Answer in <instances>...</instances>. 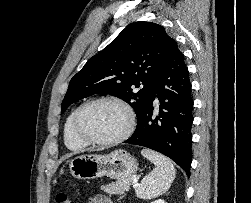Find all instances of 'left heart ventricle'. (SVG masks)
I'll list each match as a JSON object with an SVG mask.
<instances>
[{
  "instance_id": "obj_1",
  "label": "left heart ventricle",
  "mask_w": 251,
  "mask_h": 203,
  "mask_svg": "<svg viewBox=\"0 0 251 203\" xmlns=\"http://www.w3.org/2000/svg\"><path fill=\"white\" fill-rule=\"evenodd\" d=\"M127 122V115L120 106L102 102L84 111L80 129L90 138L107 140L120 135L125 130Z\"/></svg>"
}]
</instances>
